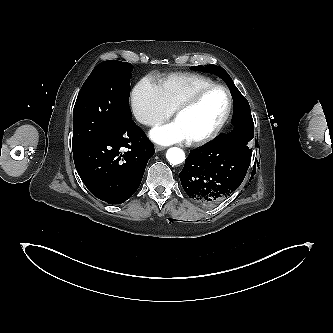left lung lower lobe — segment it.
<instances>
[{
  "label": "left lung lower lobe",
  "mask_w": 333,
  "mask_h": 333,
  "mask_svg": "<svg viewBox=\"0 0 333 333\" xmlns=\"http://www.w3.org/2000/svg\"><path fill=\"white\" fill-rule=\"evenodd\" d=\"M220 135L190 152L179 173L185 192L207 206L223 201L240 186L251 161V155L244 149L249 140L244 134Z\"/></svg>",
  "instance_id": "1"
}]
</instances>
